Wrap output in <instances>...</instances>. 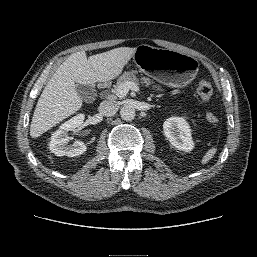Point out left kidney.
<instances>
[{"mask_svg":"<svg viewBox=\"0 0 257 257\" xmlns=\"http://www.w3.org/2000/svg\"><path fill=\"white\" fill-rule=\"evenodd\" d=\"M163 131L169 142L178 150L190 152L193 149L191 130L184 118H168L163 124Z\"/></svg>","mask_w":257,"mask_h":257,"instance_id":"obj_1","label":"left kidney"}]
</instances>
